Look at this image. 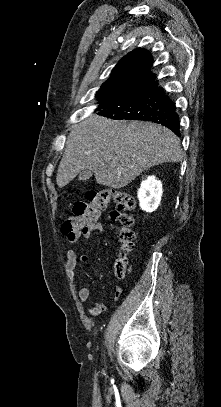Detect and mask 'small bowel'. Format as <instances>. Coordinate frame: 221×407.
Instances as JSON below:
<instances>
[{"mask_svg": "<svg viewBox=\"0 0 221 407\" xmlns=\"http://www.w3.org/2000/svg\"><path fill=\"white\" fill-rule=\"evenodd\" d=\"M103 231V226L100 224L97 233H101ZM67 240L72 243V240L67 237ZM66 262L64 265L65 273L72 284H75V270L77 267L78 262L82 266H86L90 260L89 255L82 254L80 257L77 256L74 250L68 249L66 250ZM122 293V288L117 286L113 292V300H117ZM91 295V289L88 286L81 287L77 292L78 301L81 303L86 302ZM107 309V305L103 302L96 301L93 303L92 307L89 310V313L92 316H96L98 314L103 313Z\"/></svg>", "mask_w": 221, "mask_h": 407, "instance_id": "small-bowel-1", "label": "small bowel"}]
</instances>
